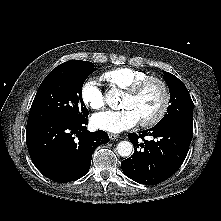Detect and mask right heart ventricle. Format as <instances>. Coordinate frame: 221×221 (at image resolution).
<instances>
[{
  "label": "right heart ventricle",
  "instance_id": "obj_1",
  "mask_svg": "<svg viewBox=\"0 0 221 221\" xmlns=\"http://www.w3.org/2000/svg\"><path fill=\"white\" fill-rule=\"evenodd\" d=\"M149 77V74L130 67H119L102 74V79L108 82L113 89L127 91L140 80Z\"/></svg>",
  "mask_w": 221,
  "mask_h": 221
}]
</instances>
